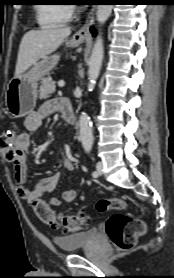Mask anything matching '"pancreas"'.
Instances as JSON below:
<instances>
[{"label": "pancreas", "instance_id": "obj_1", "mask_svg": "<svg viewBox=\"0 0 174 278\" xmlns=\"http://www.w3.org/2000/svg\"><path fill=\"white\" fill-rule=\"evenodd\" d=\"M55 92V82L50 78H46L41 82L39 89L40 99H46Z\"/></svg>", "mask_w": 174, "mask_h": 278}]
</instances>
